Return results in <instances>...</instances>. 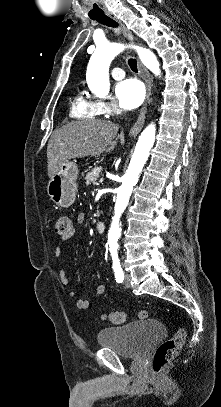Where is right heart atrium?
<instances>
[{
	"label": "right heart atrium",
	"instance_id": "1",
	"mask_svg": "<svg viewBox=\"0 0 221 407\" xmlns=\"http://www.w3.org/2000/svg\"><path fill=\"white\" fill-rule=\"evenodd\" d=\"M95 105L101 114H105L107 116H113L122 111L118 104L111 101H96Z\"/></svg>",
	"mask_w": 221,
	"mask_h": 407
}]
</instances>
